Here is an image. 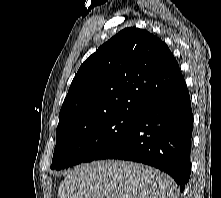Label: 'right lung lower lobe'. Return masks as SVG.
Returning a JSON list of instances; mask_svg holds the SVG:
<instances>
[{"mask_svg":"<svg viewBox=\"0 0 221 198\" xmlns=\"http://www.w3.org/2000/svg\"><path fill=\"white\" fill-rule=\"evenodd\" d=\"M192 121L190 96L182 79L146 106L134 128L96 160L123 159L151 165L171 175L182 192L191 172Z\"/></svg>","mask_w":221,"mask_h":198,"instance_id":"right-lung-lower-lobe-1","label":"right lung lower lobe"}]
</instances>
